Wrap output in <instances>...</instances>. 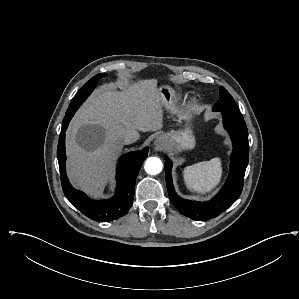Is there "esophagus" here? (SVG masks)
Masks as SVG:
<instances>
[{"mask_svg":"<svg viewBox=\"0 0 299 299\" xmlns=\"http://www.w3.org/2000/svg\"><path fill=\"white\" fill-rule=\"evenodd\" d=\"M154 145L157 150H161L164 147V142L161 138H156Z\"/></svg>","mask_w":299,"mask_h":299,"instance_id":"obj_1","label":"esophagus"}]
</instances>
